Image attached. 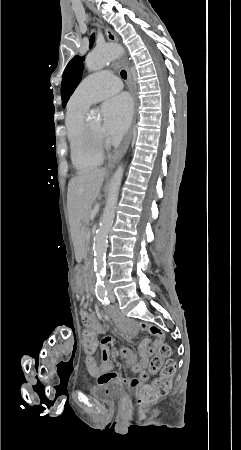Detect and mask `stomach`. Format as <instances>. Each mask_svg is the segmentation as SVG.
Returning a JSON list of instances; mask_svg holds the SVG:
<instances>
[{"label":"stomach","instance_id":"0dacf381","mask_svg":"<svg viewBox=\"0 0 241 450\" xmlns=\"http://www.w3.org/2000/svg\"><path fill=\"white\" fill-rule=\"evenodd\" d=\"M73 283L77 290H82L85 284V277L80 265L76 266L74 275H73Z\"/></svg>","mask_w":241,"mask_h":450}]
</instances>
